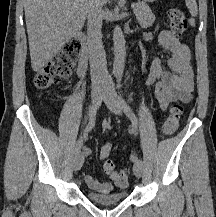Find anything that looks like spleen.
I'll return each mask as SVG.
<instances>
[{
  "instance_id": "obj_1",
  "label": "spleen",
  "mask_w": 216,
  "mask_h": 217,
  "mask_svg": "<svg viewBox=\"0 0 216 217\" xmlns=\"http://www.w3.org/2000/svg\"><path fill=\"white\" fill-rule=\"evenodd\" d=\"M185 2L191 16L192 17L197 16L198 7H197L196 0H185ZM189 22L192 26H195V20L193 18H191Z\"/></svg>"
}]
</instances>
